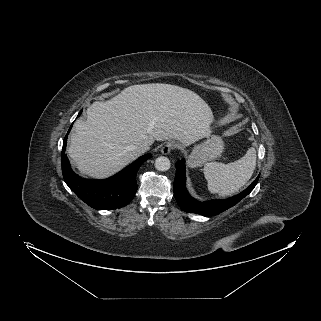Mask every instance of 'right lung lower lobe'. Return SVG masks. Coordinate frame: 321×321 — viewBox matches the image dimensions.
Listing matches in <instances>:
<instances>
[{"label": "right lung lower lobe", "mask_w": 321, "mask_h": 321, "mask_svg": "<svg viewBox=\"0 0 321 321\" xmlns=\"http://www.w3.org/2000/svg\"><path fill=\"white\" fill-rule=\"evenodd\" d=\"M81 112L79 113V115ZM70 126L68 133L71 129ZM67 133V135H68ZM67 135L62 148V173L69 188L86 204L94 209H116L126 206L137 191L136 174L139 167L151 157L146 154L118 174L106 180L81 178L71 169L65 154Z\"/></svg>", "instance_id": "right-lung-lower-lobe-1"}]
</instances>
